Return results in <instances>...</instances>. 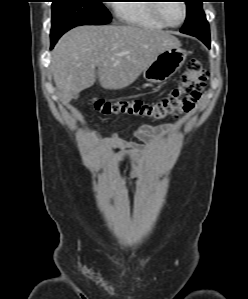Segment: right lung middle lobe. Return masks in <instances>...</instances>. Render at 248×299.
<instances>
[{
	"label": "right lung middle lobe",
	"mask_w": 248,
	"mask_h": 299,
	"mask_svg": "<svg viewBox=\"0 0 248 299\" xmlns=\"http://www.w3.org/2000/svg\"><path fill=\"white\" fill-rule=\"evenodd\" d=\"M52 46L69 29L79 25H102L111 21L103 0H52Z\"/></svg>",
	"instance_id": "dd1d6c3e"
}]
</instances>
